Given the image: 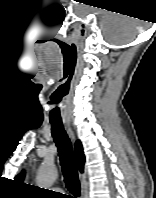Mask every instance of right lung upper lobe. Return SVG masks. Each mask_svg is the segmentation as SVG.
I'll return each instance as SVG.
<instances>
[{
	"label": "right lung upper lobe",
	"mask_w": 156,
	"mask_h": 198,
	"mask_svg": "<svg viewBox=\"0 0 156 198\" xmlns=\"http://www.w3.org/2000/svg\"><path fill=\"white\" fill-rule=\"evenodd\" d=\"M75 155H76L78 168L81 172H83L85 156H84V153H83L82 144L79 140H77L76 143H75Z\"/></svg>",
	"instance_id": "1"
}]
</instances>
